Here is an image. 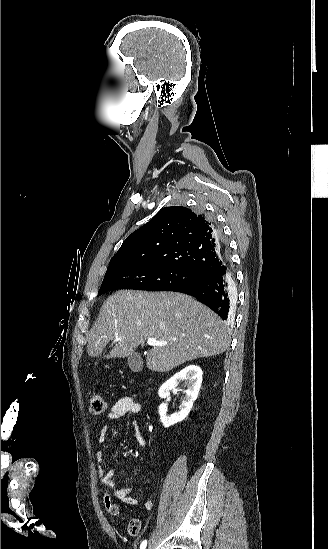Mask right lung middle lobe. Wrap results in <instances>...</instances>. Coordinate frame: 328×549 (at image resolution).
I'll return each instance as SVG.
<instances>
[{
  "mask_svg": "<svg viewBox=\"0 0 328 549\" xmlns=\"http://www.w3.org/2000/svg\"><path fill=\"white\" fill-rule=\"evenodd\" d=\"M203 277L195 270L157 263L130 262L105 274L98 295L114 289L171 291Z\"/></svg>",
  "mask_w": 328,
  "mask_h": 549,
  "instance_id": "obj_1",
  "label": "right lung middle lobe"
}]
</instances>
